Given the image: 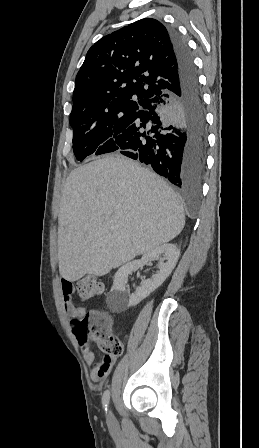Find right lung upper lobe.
<instances>
[{
	"label": "right lung upper lobe",
	"mask_w": 259,
	"mask_h": 448,
	"mask_svg": "<svg viewBox=\"0 0 259 448\" xmlns=\"http://www.w3.org/2000/svg\"><path fill=\"white\" fill-rule=\"evenodd\" d=\"M178 85L168 31L160 21L145 18L106 35L89 49L76 77L70 115L144 105Z\"/></svg>",
	"instance_id": "right-lung-upper-lobe-1"
}]
</instances>
